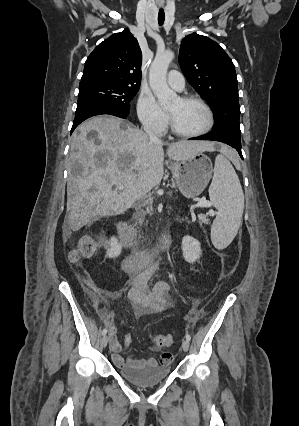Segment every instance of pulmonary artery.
<instances>
[{
	"label": "pulmonary artery",
	"instance_id": "obj_1",
	"mask_svg": "<svg viewBox=\"0 0 299 426\" xmlns=\"http://www.w3.org/2000/svg\"><path fill=\"white\" fill-rule=\"evenodd\" d=\"M167 81L168 84L177 91H182L185 88V79L177 70L169 71Z\"/></svg>",
	"mask_w": 299,
	"mask_h": 426
}]
</instances>
